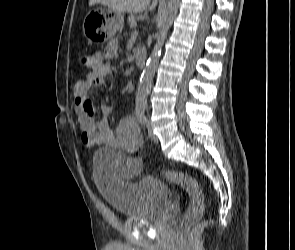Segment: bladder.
I'll return each instance as SVG.
<instances>
[{"mask_svg": "<svg viewBox=\"0 0 295 250\" xmlns=\"http://www.w3.org/2000/svg\"><path fill=\"white\" fill-rule=\"evenodd\" d=\"M121 159L115 149H101L92 159L95 183L105 201L118 213L131 220L160 219L171 204L170 188L147 174L129 182L120 180Z\"/></svg>", "mask_w": 295, "mask_h": 250, "instance_id": "31cf9c89", "label": "bladder"}]
</instances>
